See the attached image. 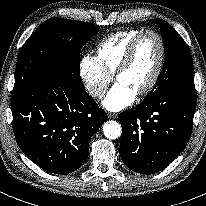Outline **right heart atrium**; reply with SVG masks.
<instances>
[{"label": "right heart atrium", "mask_w": 206, "mask_h": 206, "mask_svg": "<svg viewBox=\"0 0 206 206\" xmlns=\"http://www.w3.org/2000/svg\"><path fill=\"white\" fill-rule=\"evenodd\" d=\"M79 74L87 93L94 99L105 94L112 76L106 73L96 57L84 56L79 65Z\"/></svg>", "instance_id": "1"}]
</instances>
